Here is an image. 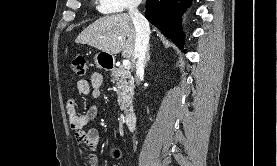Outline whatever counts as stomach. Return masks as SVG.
<instances>
[{
    "label": "stomach",
    "mask_w": 277,
    "mask_h": 166,
    "mask_svg": "<svg viewBox=\"0 0 277 166\" xmlns=\"http://www.w3.org/2000/svg\"><path fill=\"white\" fill-rule=\"evenodd\" d=\"M94 61L98 67L108 69L112 66L114 57L106 52H98L94 57Z\"/></svg>",
    "instance_id": "stomach-1"
}]
</instances>
